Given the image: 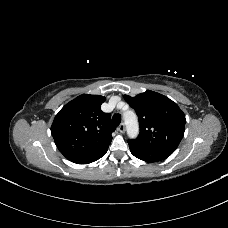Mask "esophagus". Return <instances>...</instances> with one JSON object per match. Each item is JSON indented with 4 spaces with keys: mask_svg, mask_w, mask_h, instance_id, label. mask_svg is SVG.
<instances>
[{
    "mask_svg": "<svg viewBox=\"0 0 228 228\" xmlns=\"http://www.w3.org/2000/svg\"><path fill=\"white\" fill-rule=\"evenodd\" d=\"M118 131L120 133H124L125 132V124L124 123H121L119 126H118Z\"/></svg>",
    "mask_w": 228,
    "mask_h": 228,
    "instance_id": "1",
    "label": "esophagus"
}]
</instances>
